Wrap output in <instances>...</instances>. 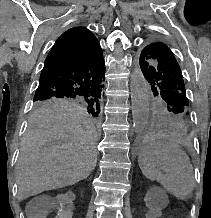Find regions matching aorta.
Returning a JSON list of instances; mask_svg holds the SVG:
<instances>
[{
    "instance_id": "762f6f07",
    "label": "aorta",
    "mask_w": 211,
    "mask_h": 218,
    "mask_svg": "<svg viewBox=\"0 0 211 218\" xmlns=\"http://www.w3.org/2000/svg\"><path fill=\"white\" fill-rule=\"evenodd\" d=\"M132 118L135 132L144 130L148 121L150 90L148 83L140 72L131 78Z\"/></svg>"
}]
</instances>
